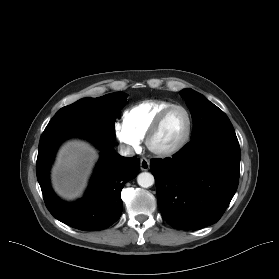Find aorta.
<instances>
[{"mask_svg":"<svg viewBox=\"0 0 279 279\" xmlns=\"http://www.w3.org/2000/svg\"><path fill=\"white\" fill-rule=\"evenodd\" d=\"M137 183L143 188L151 187L154 184V176L149 172H142L137 176Z\"/></svg>","mask_w":279,"mask_h":279,"instance_id":"obj_1","label":"aorta"}]
</instances>
